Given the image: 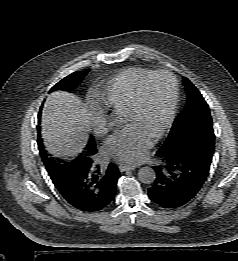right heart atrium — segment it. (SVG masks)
Listing matches in <instances>:
<instances>
[{"instance_id": "1", "label": "right heart atrium", "mask_w": 238, "mask_h": 261, "mask_svg": "<svg viewBox=\"0 0 238 261\" xmlns=\"http://www.w3.org/2000/svg\"><path fill=\"white\" fill-rule=\"evenodd\" d=\"M90 125L93 132L99 136H105L109 130V122L106 113L99 108H91L89 112Z\"/></svg>"}]
</instances>
